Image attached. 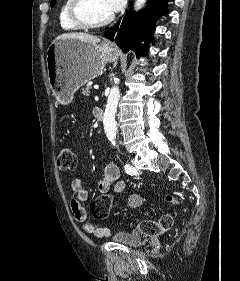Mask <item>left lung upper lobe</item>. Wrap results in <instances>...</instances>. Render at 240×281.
<instances>
[{"mask_svg": "<svg viewBox=\"0 0 240 281\" xmlns=\"http://www.w3.org/2000/svg\"><path fill=\"white\" fill-rule=\"evenodd\" d=\"M55 1H56V0H51V6L54 5Z\"/></svg>", "mask_w": 240, "mask_h": 281, "instance_id": "obj_1", "label": "left lung upper lobe"}]
</instances>
